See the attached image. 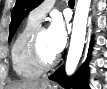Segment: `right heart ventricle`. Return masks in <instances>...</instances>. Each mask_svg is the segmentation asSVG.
Listing matches in <instances>:
<instances>
[{
    "label": "right heart ventricle",
    "mask_w": 107,
    "mask_h": 89,
    "mask_svg": "<svg viewBox=\"0 0 107 89\" xmlns=\"http://www.w3.org/2000/svg\"><path fill=\"white\" fill-rule=\"evenodd\" d=\"M39 23L28 17L11 47V62L15 73L25 79H33L41 75V71L34 68L28 61L27 46L33 32Z\"/></svg>",
    "instance_id": "right-heart-ventricle-1"
}]
</instances>
